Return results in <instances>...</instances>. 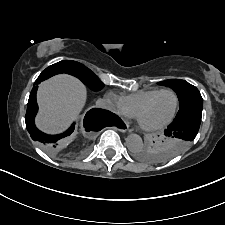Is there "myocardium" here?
<instances>
[{
    "instance_id": "1",
    "label": "myocardium",
    "mask_w": 225,
    "mask_h": 225,
    "mask_svg": "<svg viewBox=\"0 0 225 225\" xmlns=\"http://www.w3.org/2000/svg\"><path fill=\"white\" fill-rule=\"evenodd\" d=\"M165 92H170L172 93L174 96H175V99H176V103H175V108L171 114V116L166 120L164 121L163 123L159 124V125H156V126H146L143 124L142 122V114L143 112L146 110V108L151 104V102L157 97L159 96L160 94L162 93H165ZM179 107H180V98H179V95L178 93L173 90V89H170V88H166V89H160L159 91H157L155 94H153L149 99H147L141 106L140 108L137 110V113H136V118H137V121L139 123V126L145 130V131H150V132H153V131H160V130H163L165 129L166 127H168L175 119L177 113H178V110H179Z\"/></svg>"
}]
</instances>
